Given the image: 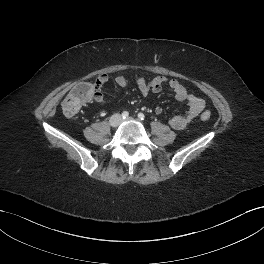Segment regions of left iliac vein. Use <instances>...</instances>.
<instances>
[{
  "label": "left iliac vein",
  "instance_id": "4c4485c4",
  "mask_svg": "<svg viewBox=\"0 0 264 264\" xmlns=\"http://www.w3.org/2000/svg\"><path fill=\"white\" fill-rule=\"evenodd\" d=\"M127 120H131V117L127 118Z\"/></svg>",
  "mask_w": 264,
  "mask_h": 264
}]
</instances>
